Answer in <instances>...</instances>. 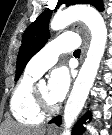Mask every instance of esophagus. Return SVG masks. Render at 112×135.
I'll return each instance as SVG.
<instances>
[{"instance_id":"obj_1","label":"esophagus","mask_w":112,"mask_h":135,"mask_svg":"<svg viewBox=\"0 0 112 135\" xmlns=\"http://www.w3.org/2000/svg\"><path fill=\"white\" fill-rule=\"evenodd\" d=\"M74 27L79 28L84 33V35L86 37V40L84 42V46L82 48V58H83L84 55H85V52H86V50L88 48V45H89L90 34H89V31L82 25H77V26L75 25ZM49 129L50 130H57V127L52 125V126H50Z\"/></svg>"}]
</instances>
